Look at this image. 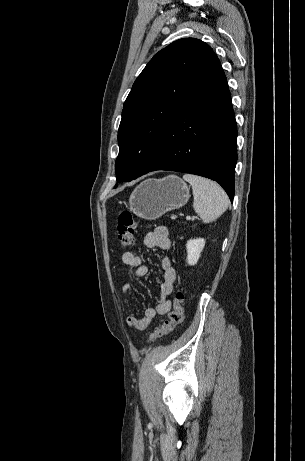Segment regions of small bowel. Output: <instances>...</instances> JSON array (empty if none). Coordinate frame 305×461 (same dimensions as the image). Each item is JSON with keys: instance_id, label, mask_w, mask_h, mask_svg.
<instances>
[{"instance_id": "1", "label": "small bowel", "mask_w": 305, "mask_h": 461, "mask_svg": "<svg viewBox=\"0 0 305 461\" xmlns=\"http://www.w3.org/2000/svg\"><path fill=\"white\" fill-rule=\"evenodd\" d=\"M144 245L150 249L166 250L170 248L171 239L168 228L159 226L147 233L144 238ZM122 262L127 268L133 270L136 277H144L149 272L148 265L144 264L141 258L133 251L124 252ZM161 268L163 270V281L159 286V298L156 307L146 309L143 317H138L133 309H128L126 322L130 328L144 330L157 315H165L169 312L172 305L170 295L176 281V270L168 257L161 260ZM122 291L125 295L131 294L133 285L130 282H125ZM122 309L125 310V307L122 306Z\"/></svg>"}]
</instances>
